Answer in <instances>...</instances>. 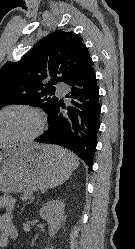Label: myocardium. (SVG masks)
I'll return each instance as SVG.
<instances>
[{"instance_id": "obj_1", "label": "myocardium", "mask_w": 135, "mask_h": 249, "mask_svg": "<svg viewBox=\"0 0 135 249\" xmlns=\"http://www.w3.org/2000/svg\"><path fill=\"white\" fill-rule=\"evenodd\" d=\"M11 110H21L31 114L35 120V129L32 133L26 136L10 137L6 139H0L2 143H27L36 140L44 130V117L40 110L37 108L23 103L8 104L0 108V115Z\"/></svg>"}]
</instances>
